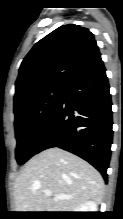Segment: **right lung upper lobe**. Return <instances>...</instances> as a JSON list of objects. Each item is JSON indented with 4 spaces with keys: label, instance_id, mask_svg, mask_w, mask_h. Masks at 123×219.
<instances>
[{
    "label": "right lung upper lobe",
    "instance_id": "cb5924a9",
    "mask_svg": "<svg viewBox=\"0 0 123 219\" xmlns=\"http://www.w3.org/2000/svg\"><path fill=\"white\" fill-rule=\"evenodd\" d=\"M101 56L93 34L75 24L60 26L38 41L24 58L14 102L46 87L66 85Z\"/></svg>",
    "mask_w": 123,
    "mask_h": 219
}]
</instances>
